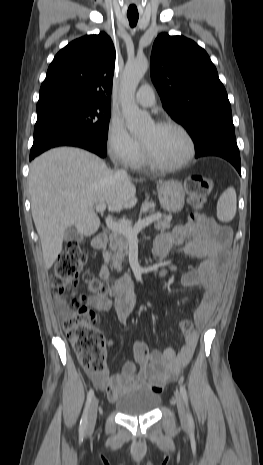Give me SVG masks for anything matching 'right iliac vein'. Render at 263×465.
<instances>
[{"label":"right iliac vein","mask_w":263,"mask_h":465,"mask_svg":"<svg viewBox=\"0 0 263 465\" xmlns=\"http://www.w3.org/2000/svg\"><path fill=\"white\" fill-rule=\"evenodd\" d=\"M97 410H98V399L94 397L90 404L89 415H88V422H87V429L91 430L94 428L97 418Z\"/></svg>","instance_id":"obj_1"}]
</instances>
